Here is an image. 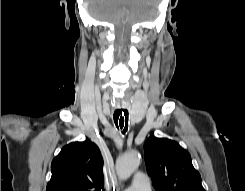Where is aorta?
<instances>
[{
    "mask_svg": "<svg viewBox=\"0 0 245 191\" xmlns=\"http://www.w3.org/2000/svg\"><path fill=\"white\" fill-rule=\"evenodd\" d=\"M140 164V154L133 150L123 154L116 161V173L121 180L128 179Z\"/></svg>",
    "mask_w": 245,
    "mask_h": 191,
    "instance_id": "762f6f07",
    "label": "aorta"
}]
</instances>
